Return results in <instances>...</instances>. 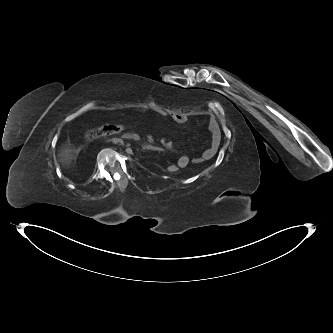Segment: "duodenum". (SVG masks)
Here are the masks:
<instances>
[{
    "label": "duodenum",
    "mask_w": 333,
    "mask_h": 333,
    "mask_svg": "<svg viewBox=\"0 0 333 333\" xmlns=\"http://www.w3.org/2000/svg\"><path fill=\"white\" fill-rule=\"evenodd\" d=\"M124 138H134L137 139L138 135L136 133H124L123 134ZM142 148L146 151H151V152H159L161 151L160 146L156 144H151V143H142Z\"/></svg>",
    "instance_id": "duodenum-1"
}]
</instances>
